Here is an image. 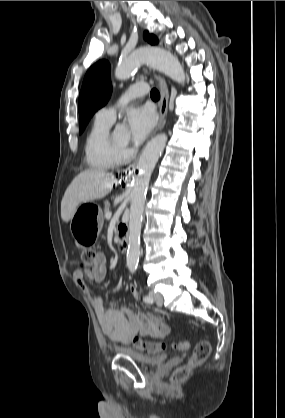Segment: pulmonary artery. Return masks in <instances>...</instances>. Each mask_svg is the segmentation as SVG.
<instances>
[{"label":"pulmonary artery","instance_id":"obj_1","mask_svg":"<svg viewBox=\"0 0 285 418\" xmlns=\"http://www.w3.org/2000/svg\"><path fill=\"white\" fill-rule=\"evenodd\" d=\"M147 93H148V89L144 83L142 82L136 83L131 88H129V90L126 92V96H125L126 98L122 101V103H125L128 100H131L140 96H144ZM96 116L112 123L115 117V108H102L97 111Z\"/></svg>","mask_w":285,"mask_h":418}]
</instances>
